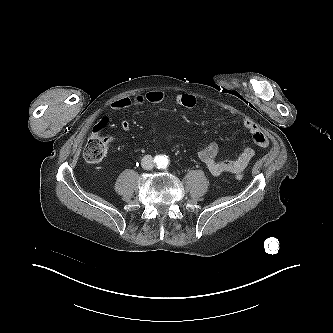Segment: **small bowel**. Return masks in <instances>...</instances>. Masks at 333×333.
I'll return each mask as SVG.
<instances>
[{"label": "small bowel", "instance_id": "small-bowel-1", "mask_svg": "<svg viewBox=\"0 0 333 333\" xmlns=\"http://www.w3.org/2000/svg\"><path fill=\"white\" fill-rule=\"evenodd\" d=\"M165 99V94L161 90H152L145 94H140L132 98H120L111 104L113 111L127 110L132 106H140L146 102L152 104H159ZM175 103L178 106L185 108H193L197 99L194 95L189 93H182L177 95ZM243 127L250 133L253 142L262 148L269 145V140L259 126L249 118L243 120ZM121 127L128 131L131 129V124L128 120L121 121ZM254 156V150L250 147H244L240 154L235 158L224 159L218 157V145L211 142L204 146L198 152V158L205 164L209 172L214 176H220L225 173H240L242 172Z\"/></svg>", "mask_w": 333, "mask_h": 333}]
</instances>
